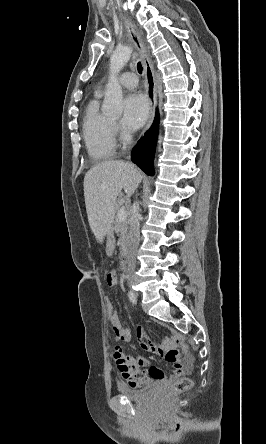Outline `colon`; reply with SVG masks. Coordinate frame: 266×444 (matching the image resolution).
<instances>
[{
  "label": "colon",
  "mask_w": 266,
  "mask_h": 444,
  "mask_svg": "<svg viewBox=\"0 0 266 444\" xmlns=\"http://www.w3.org/2000/svg\"><path fill=\"white\" fill-rule=\"evenodd\" d=\"M105 311L109 319H113L117 316L118 312L114 307L112 301L107 298L105 302ZM185 349V348H184ZM192 386V380L187 377H181L175 380V382L169 387V389L164 392L161 396V403L166 404L171 397L181 393L184 390L189 389Z\"/></svg>",
  "instance_id": "obj_1"
}]
</instances>
